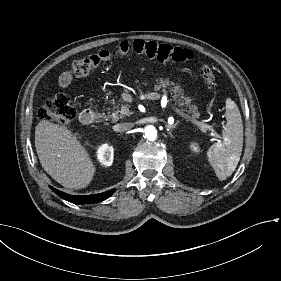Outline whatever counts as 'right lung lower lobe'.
<instances>
[{
	"label": "right lung lower lobe",
	"instance_id": "1",
	"mask_svg": "<svg viewBox=\"0 0 281 281\" xmlns=\"http://www.w3.org/2000/svg\"><path fill=\"white\" fill-rule=\"evenodd\" d=\"M50 188L61 198L74 203V204H91V203H97L100 201H103L105 199H107L108 197H110L115 189L103 192V193H99V194H94V195H82V196H74V195H69L66 194L62 191H59L53 187L50 186Z\"/></svg>",
	"mask_w": 281,
	"mask_h": 281
}]
</instances>
